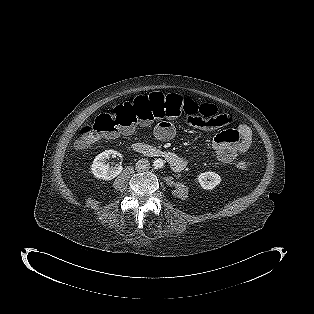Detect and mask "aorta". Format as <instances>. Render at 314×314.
I'll use <instances>...</instances> for the list:
<instances>
[{"instance_id": "aorta-1", "label": "aorta", "mask_w": 314, "mask_h": 314, "mask_svg": "<svg viewBox=\"0 0 314 314\" xmlns=\"http://www.w3.org/2000/svg\"><path fill=\"white\" fill-rule=\"evenodd\" d=\"M155 168H162L164 166V160L158 158L153 162Z\"/></svg>"}]
</instances>
